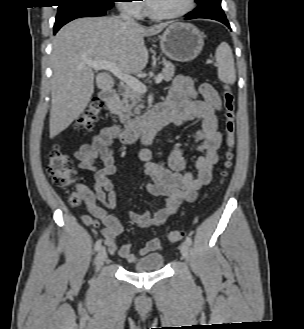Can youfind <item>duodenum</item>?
<instances>
[{
	"label": "duodenum",
	"mask_w": 304,
	"mask_h": 329,
	"mask_svg": "<svg viewBox=\"0 0 304 329\" xmlns=\"http://www.w3.org/2000/svg\"><path fill=\"white\" fill-rule=\"evenodd\" d=\"M99 98L103 102L104 112L111 119H116L117 95L113 89H105L99 93ZM173 121V115L163 105L160 104L152 108L147 114L130 121L119 133V137L124 144H131L139 138L149 140L161 128Z\"/></svg>",
	"instance_id": "1"
}]
</instances>
